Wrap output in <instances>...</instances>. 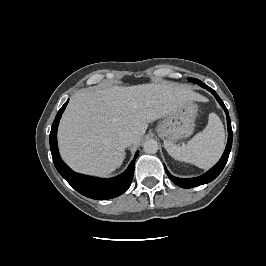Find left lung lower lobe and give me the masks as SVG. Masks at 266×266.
Returning <instances> with one entry per match:
<instances>
[{
  "mask_svg": "<svg viewBox=\"0 0 266 266\" xmlns=\"http://www.w3.org/2000/svg\"><path fill=\"white\" fill-rule=\"evenodd\" d=\"M195 83L199 84L201 87L207 89L208 91H210L215 98L217 99V101L219 102V104L223 107L225 113H226V117H227V125H228V142L225 148V151L221 157V159L219 160V162L213 167L211 168L209 171H207L204 175L196 177V178H189V179H181V178H177L172 176L168 170L165 167V171L167 173V175L169 176V178L178 186L182 187V188H192L195 186H199V185H203L206 183L211 182L212 180H214L223 170L225 164L227 163L228 157H229V153L231 151V147H232V139H233V134H232V129H231V120L227 111V108L225 107L223 101L221 100V98L217 95V93L210 87H208L206 84H203L200 80L196 79Z\"/></svg>",
  "mask_w": 266,
  "mask_h": 266,
  "instance_id": "obj_1",
  "label": "left lung lower lobe"
}]
</instances>
